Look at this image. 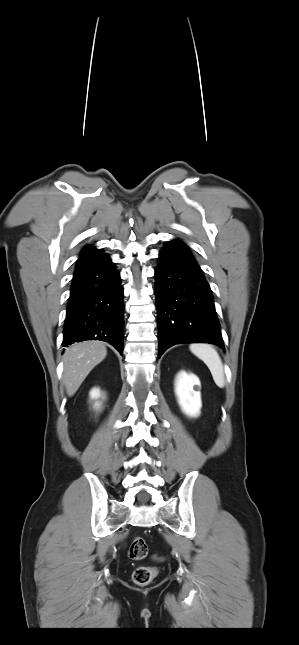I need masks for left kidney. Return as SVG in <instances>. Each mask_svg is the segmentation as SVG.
Listing matches in <instances>:
<instances>
[{
	"label": "left kidney",
	"instance_id": "5707ae66",
	"mask_svg": "<svg viewBox=\"0 0 299 645\" xmlns=\"http://www.w3.org/2000/svg\"><path fill=\"white\" fill-rule=\"evenodd\" d=\"M200 386V381L194 374L180 372L175 380V394L181 410L189 417H197L202 406L199 391L194 390Z\"/></svg>",
	"mask_w": 299,
	"mask_h": 645
}]
</instances>
